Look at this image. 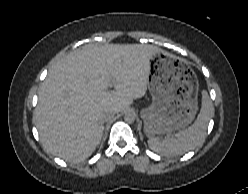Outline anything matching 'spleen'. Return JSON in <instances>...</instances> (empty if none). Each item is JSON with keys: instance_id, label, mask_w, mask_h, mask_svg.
Here are the masks:
<instances>
[{"instance_id": "spleen-1", "label": "spleen", "mask_w": 248, "mask_h": 194, "mask_svg": "<svg viewBox=\"0 0 248 194\" xmlns=\"http://www.w3.org/2000/svg\"><path fill=\"white\" fill-rule=\"evenodd\" d=\"M213 105L208 93L202 91V106L196 121L187 129L181 130L174 137H165L162 141L154 136L149 137V148L167 157L182 155L198 146L205 138L206 129Z\"/></svg>"}]
</instances>
